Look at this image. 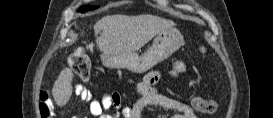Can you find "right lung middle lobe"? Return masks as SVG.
I'll return each mask as SVG.
<instances>
[{"instance_id": "right-lung-middle-lobe-1", "label": "right lung middle lobe", "mask_w": 273, "mask_h": 118, "mask_svg": "<svg viewBox=\"0 0 273 118\" xmlns=\"http://www.w3.org/2000/svg\"><path fill=\"white\" fill-rule=\"evenodd\" d=\"M95 8H97V7L96 6L86 5V6L81 7L78 11L83 13L85 11H89V10H92V9H95Z\"/></svg>"}]
</instances>
